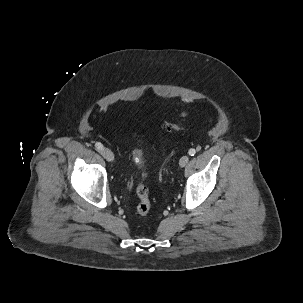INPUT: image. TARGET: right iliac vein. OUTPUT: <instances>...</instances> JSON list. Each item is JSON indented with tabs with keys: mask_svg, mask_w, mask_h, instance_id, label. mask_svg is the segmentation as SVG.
Returning <instances> with one entry per match:
<instances>
[{
	"mask_svg": "<svg viewBox=\"0 0 303 303\" xmlns=\"http://www.w3.org/2000/svg\"><path fill=\"white\" fill-rule=\"evenodd\" d=\"M101 154H102V156H103L107 161H109V162H112V161L114 160V154H113V152H112L110 149H108V148H103V149L101 150Z\"/></svg>",
	"mask_w": 303,
	"mask_h": 303,
	"instance_id": "right-iliac-vein-1",
	"label": "right iliac vein"
}]
</instances>
